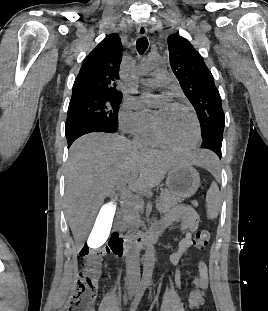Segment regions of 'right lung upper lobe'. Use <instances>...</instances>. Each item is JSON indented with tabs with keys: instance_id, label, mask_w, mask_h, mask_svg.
<instances>
[{
	"instance_id": "obj_1",
	"label": "right lung upper lobe",
	"mask_w": 268,
	"mask_h": 311,
	"mask_svg": "<svg viewBox=\"0 0 268 311\" xmlns=\"http://www.w3.org/2000/svg\"><path fill=\"white\" fill-rule=\"evenodd\" d=\"M122 44L117 34L104 38L85 58L72 92H95L122 95L117 89Z\"/></svg>"
}]
</instances>
